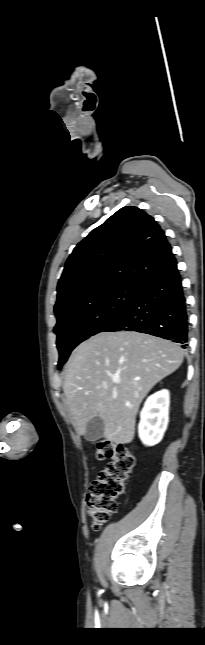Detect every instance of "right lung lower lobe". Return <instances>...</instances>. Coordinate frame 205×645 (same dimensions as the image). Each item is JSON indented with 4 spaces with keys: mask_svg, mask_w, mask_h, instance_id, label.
Returning a JSON list of instances; mask_svg holds the SVG:
<instances>
[{
    "mask_svg": "<svg viewBox=\"0 0 205 645\" xmlns=\"http://www.w3.org/2000/svg\"><path fill=\"white\" fill-rule=\"evenodd\" d=\"M147 333L188 346V315L177 262L163 266L137 284L135 301L101 332Z\"/></svg>",
    "mask_w": 205,
    "mask_h": 645,
    "instance_id": "right-lung-lower-lobe-1",
    "label": "right lung lower lobe"
}]
</instances>
